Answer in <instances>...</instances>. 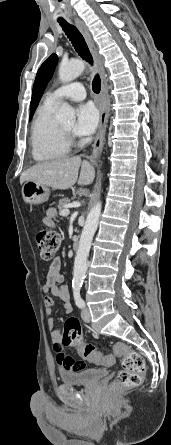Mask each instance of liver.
I'll use <instances>...</instances> for the list:
<instances>
[{
    "label": "liver",
    "mask_w": 171,
    "mask_h": 445,
    "mask_svg": "<svg viewBox=\"0 0 171 445\" xmlns=\"http://www.w3.org/2000/svg\"><path fill=\"white\" fill-rule=\"evenodd\" d=\"M94 177V169L88 161H81L80 157L60 158L42 162L27 169L21 174L20 183L32 181L54 189L66 190L77 181L79 185H89Z\"/></svg>",
    "instance_id": "obj_1"
}]
</instances>
